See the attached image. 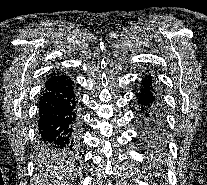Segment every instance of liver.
Here are the masks:
<instances>
[{
	"instance_id": "obj_1",
	"label": "liver",
	"mask_w": 207,
	"mask_h": 185,
	"mask_svg": "<svg viewBox=\"0 0 207 185\" xmlns=\"http://www.w3.org/2000/svg\"><path fill=\"white\" fill-rule=\"evenodd\" d=\"M42 163L40 169H39V173H42V175H45V171H46V165H44V157H39L38 159V163ZM62 165H64V163H62ZM50 179H52V177H50ZM50 183H54V181H50ZM55 183H57V181H55Z\"/></svg>"
}]
</instances>
